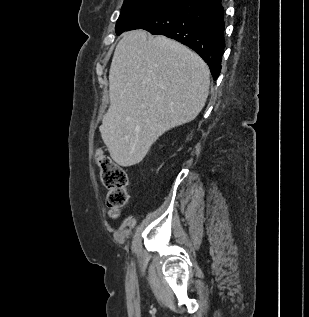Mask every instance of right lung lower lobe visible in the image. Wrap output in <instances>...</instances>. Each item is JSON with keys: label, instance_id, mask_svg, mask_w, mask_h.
<instances>
[{"label": "right lung lower lobe", "instance_id": "right-lung-lower-lobe-1", "mask_svg": "<svg viewBox=\"0 0 309 317\" xmlns=\"http://www.w3.org/2000/svg\"><path fill=\"white\" fill-rule=\"evenodd\" d=\"M223 13L221 0H180L139 17L124 31L142 28L183 43L202 57L216 80L225 48Z\"/></svg>", "mask_w": 309, "mask_h": 317}]
</instances>
